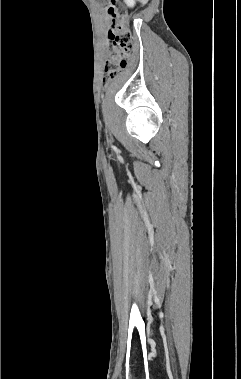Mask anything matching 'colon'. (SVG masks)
<instances>
[{
	"label": "colon",
	"instance_id": "1",
	"mask_svg": "<svg viewBox=\"0 0 241 379\" xmlns=\"http://www.w3.org/2000/svg\"><path fill=\"white\" fill-rule=\"evenodd\" d=\"M105 9L115 22L114 32L111 34V51L105 64L107 80H111L128 66L133 37L130 30L121 24L123 12L117 8L114 0L107 3Z\"/></svg>",
	"mask_w": 241,
	"mask_h": 379
}]
</instances>
